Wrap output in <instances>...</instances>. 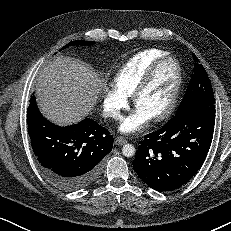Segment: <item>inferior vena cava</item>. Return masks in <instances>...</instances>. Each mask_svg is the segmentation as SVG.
Segmentation results:
<instances>
[{"instance_id": "602c4592", "label": "inferior vena cava", "mask_w": 231, "mask_h": 231, "mask_svg": "<svg viewBox=\"0 0 231 231\" xmlns=\"http://www.w3.org/2000/svg\"><path fill=\"white\" fill-rule=\"evenodd\" d=\"M111 117H113L114 119H119L120 114L118 112H114L113 114H111Z\"/></svg>"}]
</instances>
